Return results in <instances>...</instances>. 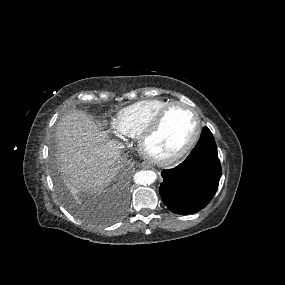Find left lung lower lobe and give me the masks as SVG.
<instances>
[{
    "label": "left lung lower lobe",
    "instance_id": "obj_1",
    "mask_svg": "<svg viewBox=\"0 0 285 285\" xmlns=\"http://www.w3.org/2000/svg\"><path fill=\"white\" fill-rule=\"evenodd\" d=\"M217 146L208 127L197 145L177 167L163 170L160 195L176 214H192L204 208L215 195L221 177Z\"/></svg>",
    "mask_w": 285,
    "mask_h": 285
}]
</instances>
